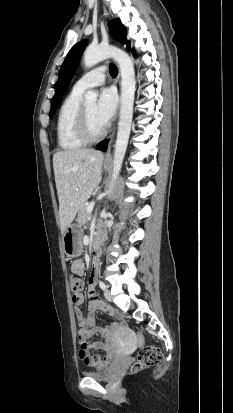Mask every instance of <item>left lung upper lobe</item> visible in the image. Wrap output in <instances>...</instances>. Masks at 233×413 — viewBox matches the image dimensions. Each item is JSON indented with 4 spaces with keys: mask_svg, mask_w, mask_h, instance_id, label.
Listing matches in <instances>:
<instances>
[{
    "mask_svg": "<svg viewBox=\"0 0 233 413\" xmlns=\"http://www.w3.org/2000/svg\"><path fill=\"white\" fill-rule=\"evenodd\" d=\"M110 31L113 38L123 44H127L128 49L130 42L126 39V29L122 25L120 19H115L110 22ZM86 42L81 41L75 44L69 53L67 54L58 75L56 82L55 94L52 98V104L50 109V117L53 116L56 107L58 106L62 96L64 95L66 88L75 72L78 61L81 57V53L85 47Z\"/></svg>",
    "mask_w": 233,
    "mask_h": 413,
    "instance_id": "left-lung-upper-lobe-1",
    "label": "left lung upper lobe"
}]
</instances>
